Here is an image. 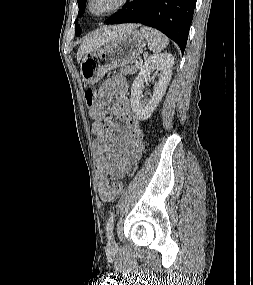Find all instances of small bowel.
<instances>
[{"instance_id":"c3829d8e","label":"small bowel","mask_w":253,"mask_h":285,"mask_svg":"<svg viewBox=\"0 0 253 285\" xmlns=\"http://www.w3.org/2000/svg\"><path fill=\"white\" fill-rule=\"evenodd\" d=\"M127 93V81L114 75L101 85L90 109L98 154L97 184L103 201H112L118 195L112 180L128 172L144 148L143 131L132 112ZM107 111L117 115L122 122L108 119ZM117 132L121 134L117 135Z\"/></svg>"}]
</instances>
